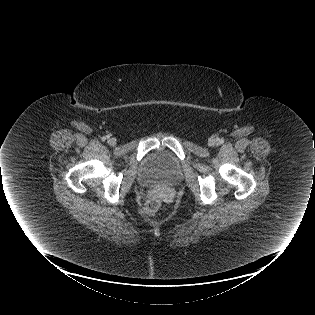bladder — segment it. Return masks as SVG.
Segmentation results:
<instances>
[{
    "label": "bladder",
    "mask_w": 315,
    "mask_h": 315,
    "mask_svg": "<svg viewBox=\"0 0 315 315\" xmlns=\"http://www.w3.org/2000/svg\"><path fill=\"white\" fill-rule=\"evenodd\" d=\"M181 176L179 161L167 152L150 155L140 169V179L146 185H171Z\"/></svg>",
    "instance_id": "bladder-1"
}]
</instances>
